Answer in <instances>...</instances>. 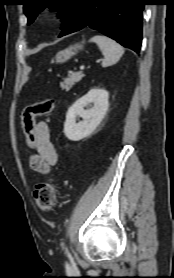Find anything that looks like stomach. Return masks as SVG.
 <instances>
[{"label":"stomach","instance_id":"obj_1","mask_svg":"<svg viewBox=\"0 0 174 278\" xmlns=\"http://www.w3.org/2000/svg\"><path fill=\"white\" fill-rule=\"evenodd\" d=\"M83 44L84 42L82 41L81 43H76L74 45H71L70 47L59 51L56 56L55 59L52 61L53 63H64L67 60H69L72 56H74L79 50L83 49Z\"/></svg>","mask_w":174,"mask_h":278}]
</instances>
